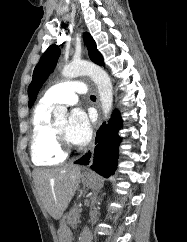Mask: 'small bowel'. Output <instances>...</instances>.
Wrapping results in <instances>:
<instances>
[{
    "mask_svg": "<svg viewBox=\"0 0 187 242\" xmlns=\"http://www.w3.org/2000/svg\"><path fill=\"white\" fill-rule=\"evenodd\" d=\"M83 234H88V235H90L89 231H87V230H85V231L83 232Z\"/></svg>",
    "mask_w": 187,
    "mask_h": 242,
    "instance_id": "1",
    "label": "small bowel"
}]
</instances>
